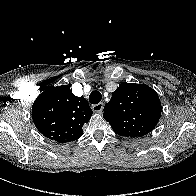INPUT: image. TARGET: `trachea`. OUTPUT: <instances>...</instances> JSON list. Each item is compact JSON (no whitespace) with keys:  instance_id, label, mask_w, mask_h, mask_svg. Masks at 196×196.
Here are the masks:
<instances>
[{"instance_id":"obj_1","label":"trachea","mask_w":196,"mask_h":196,"mask_svg":"<svg viewBox=\"0 0 196 196\" xmlns=\"http://www.w3.org/2000/svg\"><path fill=\"white\" fill-rule=\"evenodd\" d=\"M102 99V95L99 91H93L89 95V101L91 104H98Z\"/></svg>"}]
</instances>
